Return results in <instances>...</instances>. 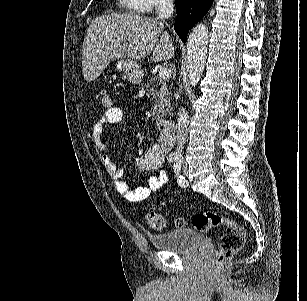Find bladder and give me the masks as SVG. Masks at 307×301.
<instances>
[{
	"mask_svg": "<svg viewBox=\"0 0 307 301\" xmlns=\"http://www.w3.org/2000/svg\"><path fill=\"white\" fill-rule=\"evenodd\" d=\"M151 240L155 250L168 251L173 254L190 252L203 242L200 232L184 228L175 229L170 233L152 236Z\"/></svg>",
	"mask_w": 307,
	"mask_h": 301,
	"instance_id": "obj_1",
	"label": "bladder"
}]
</instances>
